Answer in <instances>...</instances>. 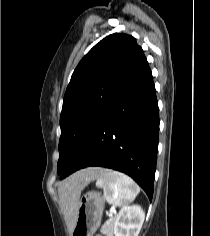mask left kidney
Masks as SVG:
<instances>
[{"label": "left kidney", "mask_w": 210, "mask_h": 236, "mask_svg": "<svg viewBox=\"0 0 210 236\" xmlns=\"http://www.w3.org/2000/svg\"><path fill=\"white\" fill-rule=\"evenodd\" d=\"M145 219L140 206L123 207L114 222L115 236H138Z\"/></svg>", "instance_id": "5707ae66"}]
</instances>
